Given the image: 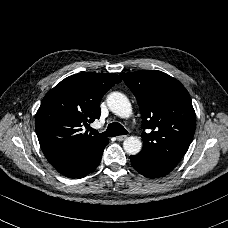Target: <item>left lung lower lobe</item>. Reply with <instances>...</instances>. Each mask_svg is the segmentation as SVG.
Masks as SVG:
<instances>
[{"label":"left lung lower lobe","mask_w":228,"mask_h":228,"mask_svg":"<svg viewBox=\"0 0 228 228\" xmlns=\"http://www.w3.org/2000/svg\"><path fill=\"white\" fill-rule=\"evenodd\" d=\"M132 166L140 174L148 178H158L172 171L177 162L152 160L141 154L130 156Z\"/></svg>","instance_id":"1"}]
</instances>
